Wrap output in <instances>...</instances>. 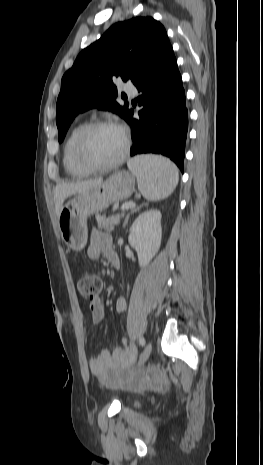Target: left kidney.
I'll use <instances>...</instances> for the list:
<instances>
[{
	"mask_svg": "<svg viewBox=\"0 0 263 465\" xmlns=\"http://www.w3.org/2000/svg\"><path fill=\"white\" fill-rule=\"evenodd\" d=\"M161 212L148 210L138 216L130 227L128 241L136 250L139 266H146L158 252L161 239Z\"/></svg>",
	"mask_w": 263,
	"mask_h": 465,
	"instance_id": "5707ae66",
	"label": "left kidney"
}]
</instances>
